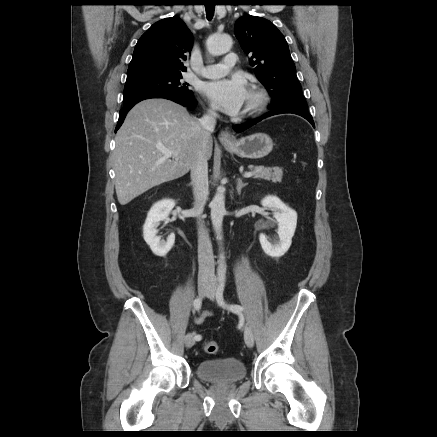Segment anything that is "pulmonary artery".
Here are the masks:
<instances>
[{
	"label": "pulmonary artery",
	"instance_id": "1",
	"mask_svg": "<svg viewBox=\"0 0 437 437\" xmlns=\"http://www.w3.org/2000/svg\"><path fill=\"white\" fill-rule=\"evenodd\" d=\"M236 61V54L232 52L228 53L221 63L204 66L200 74L205 78H220L226 75L229 70L236 65Z\"/></svg>",
	"mask_w": 437,
	"mask_h": 437
}]
</instances>
